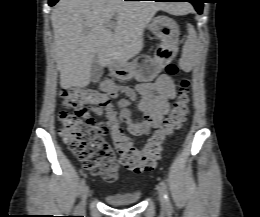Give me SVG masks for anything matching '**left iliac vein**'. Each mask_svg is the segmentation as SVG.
<instances>
[{"mask_svg":"<svg viewBox=\"0 0 260 217\" xmlns=\"http://www.w3.org/2000/svg\"><path fill=\"white\" fill-rule=\"evenodd\" d=\"M158 194H159V201H160L161 207L163 209H166L167 208V204H166V201H165V198H164V191H163L162 186H160L158 188Z\"/></svg>","mask_w":260,"mask_h":217,"instance_id":"4c4485c4","label":"left iliac vein"}]
</instances>
